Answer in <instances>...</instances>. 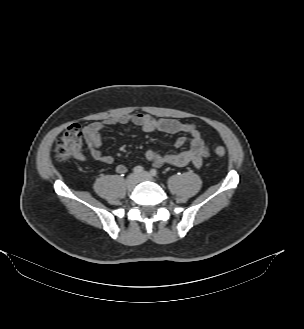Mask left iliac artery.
I'll return each instance as SVG.
<instances>
[{
  "instance_id": "1",
  "label": "left iliac artery",
  "mask_w": 304,
  "mask_h": 329,
  "mask_svg": "<svg viewBox=\"0 0 304 329\" xmlns=\"http://www.w3.org/2000/svg\"><path fill=\"white\" fill-rule=\"evenodd\" d=\"M150 173L152 176H155V177L158 176V171L156 169H151Z\"/></svg>"
}]
</instances>
